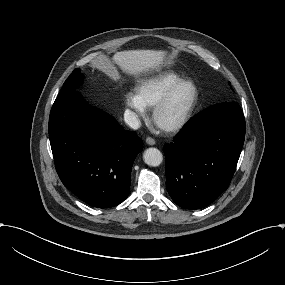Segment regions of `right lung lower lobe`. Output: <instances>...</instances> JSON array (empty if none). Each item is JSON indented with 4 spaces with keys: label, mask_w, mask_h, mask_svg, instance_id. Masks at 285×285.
Masks as SVG:
<instances>
[{
    "label": "right lung lower lobe",
    "mask_w": 285,
    "mask_h": 285,
    "mask_svg": "<svg viewBox=\"0 0 285 285\" xmlns=\"http://www.w3.org/2000/svg\"><path fill=\"white\" fill-rule=\"evenodd\" d=\"M57 173L66 188L93 207H113L129 194L131 168L142 141L80 92L60 94L49 117Z\"/></svg>",
    "instance_id": "98d812e1"
}]
</instances>
